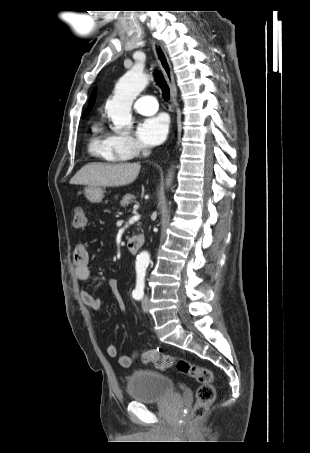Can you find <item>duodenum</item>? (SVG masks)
Instances as JSON below:
<instances>
[{
    "label": "duodenum",
    "mask_w": 310,
    "mask_h": 453,
    "mask_svg": "<svg viewBox=\"0 0 310 453\" xmlns=\"http://www.w3.org/2000/svg\"><path fill=\"white\" fill-rule=\"evenodd\" d=\"M144 244V237L142 235L132 236L128 239L127 247L131 254H136Z\"/></svg>",
    "instance_id": "410a0bca"
}]
</instances>
